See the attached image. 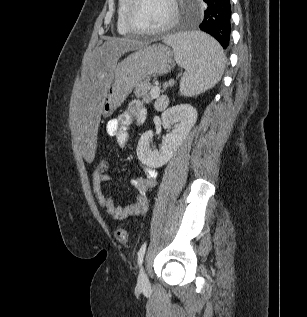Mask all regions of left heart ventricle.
I'll return each mask as SVG.
<instances>
[{
    "mask_svg": "<svg viewBox=\"0 0 307 317\" xmlns=\"http://www.w3.org/2000/svg\"><path fill=\"white\" fill-rule=\"evenodd\" d=\"M171 12L170 0H138L131 15L136 27L153 29L166 23Z\"/></svg>",
    "mask_w": 307,
    "mask_h": 317,
    "instance_id": "obj_1",
    "label": "left heart ventricle"
}]
</instances>
